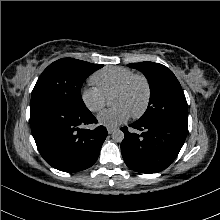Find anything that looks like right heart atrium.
<instances>
[{
	"label": "right heart atrium",
	"instance_id": "d8ad5b80",
	"mask_svg": "<svg viewBox=\"0 0 220 220\" xmlns=\"http://www.w3.org/2000/svg\"><path fill=\"white\" fill-rule=\"evenodd\" d=\"M81 100L91 112H99L107 102V97L97 87H85L81 91Z\"/></svg>",
	"mask_w": 220,
	"mask_h": 220
}]
</instances>
